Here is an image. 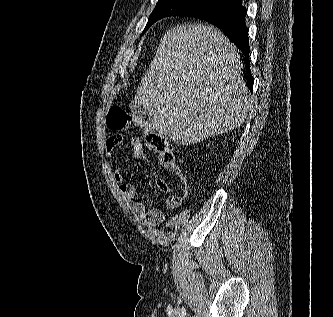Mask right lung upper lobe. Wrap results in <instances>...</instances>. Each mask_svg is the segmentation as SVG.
<instances>
[{
    "label": "right lung upper lobe",
    "mask_w": 333,
    "mask_h": 317,
    "mask_svg": "<svg viewBox=\"0 0 333 317\" xmlns=\"http://www.w3.org/2000/svg\"><path fill=\"white\" fill-rule=\"evenodd\" d=\"M230 3H235V2H237V1H239V0H228Z\"/></svg>",
    "instance_id": "cb5924a9"
}]
</instances>
